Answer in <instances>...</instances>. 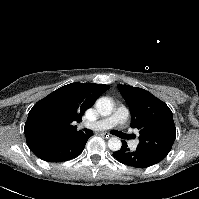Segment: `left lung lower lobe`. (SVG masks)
<instances>
[{
    "label": "left lung lower lobe",
    "instance_id": "left-lung-lower-lobe-1",
    "mask_svg": "<svg viewBox=\"0 0 199 199\" xmlns=\"http://www.w3.org/2000/svg\"><path fill=\"white\" fill-rule=\"evenodd\" d=\"M113 157L119 162L128 166L136 168H146L157 164L163 160L166 156L158 154L154 151L140 148L137 146L135 151H129L127 144L122 140V147L120 150L113 153Z\"/></svg>",
    "mask_w": 199,
    "mask_h": 199
}]
</instances>
